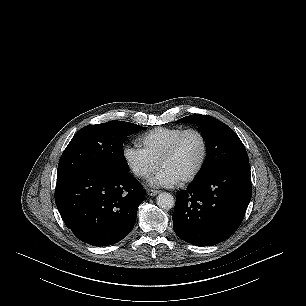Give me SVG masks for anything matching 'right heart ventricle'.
Instances as JSON below:
<instances>
[{
    "instance_id": "1",
    "label": "right heart ventricle",
    "mask_w": 306,
    "mask_h": 306,
    "mask_svg": "<svg viewBox=\"0 0 306 306\" xmlns=\"http://www.w3.org/2000/svg\"><path fill=\"white\" fill-rule=\"evenodd\" d=\"M183 130L179 127H158L143 134L140 140L153 159L160 161L170 144Z\"/></svg>"
}]
</instances>
